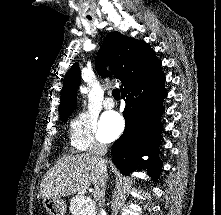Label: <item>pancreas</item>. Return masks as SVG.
Instances as JSON below:
<instances>
[{
  "instance_id": "cf45deb5",
  "label": "pancreas",
  "mask_w": 221,
  "mask_h": 215,
  "mask_svg": "<svg viewBox=\"0 0 221 215\" xmlns=\"http://www.w3.org/2000/svg\"><path fill=\"white\" fill-rule=\"evenodd\" d=\"M85 199L83 194H78L71 199L69 209L72 215H95V205L92 201L83 204Z\"/></svg>"
}]
</instances>
